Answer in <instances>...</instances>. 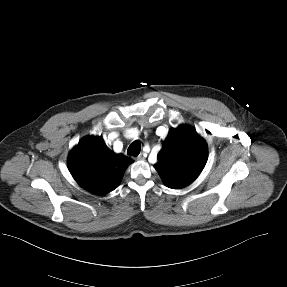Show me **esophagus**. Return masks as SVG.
Segmentation results:
<instances>
[{"label": "esophagus", "mask_w": 287, "mask_h": 287, "mask_svg": "<svg viewBox=\"0 0 287 287\" xmlns=\"http://www.w3.org/2000/svg\"><path fill=\"white\" fill-rule=\"evenodd\" d=\"M137 160H143L144 159V155L143 154H140L136 157Z\"/></svg>", "instance_id": "1"}]
</instances>
